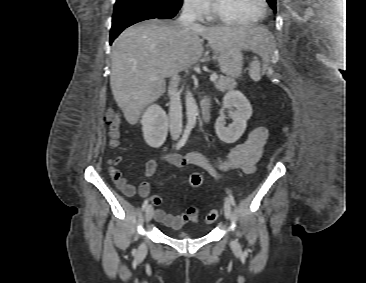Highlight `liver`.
Segmentation results:
<instances>
[{"label":"liver","mask_w":366,"mask_h":283,"mask_svg":"<svg viewBox=\"0 0 366 283\" xmlns=\"http://www.w3.org/2000/svg\"><path fill=\"white\" fill-rule=\"evenodd\" d=\"M206 39L215 54L234 44L263 54L268 30L250 25L182 27L177 20L151 19L125 29L112 46L110 86L130 124L165 92V78L197 64Z\"/></svg>","instance_id":"obj_1"}]
</instances>
